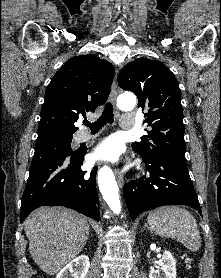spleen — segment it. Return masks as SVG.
<instances>
[{
  "label": "spleen",
  "mask_w": 221,
  "mask_h": 278,
  "mask_svg": "<svg viewBox=\"0 0 221 278\" xmlns=\"http://www.w3.org/2000/svg\"><path fill=\"white\" fill-rule=\"evenodd\" d=\"M151 230L165 238L176 239L192 252L199 250L201 236L193 215L178 206H163L147 217Z\"/></svg>",
  "instance_id": "spleen-1"
}]
</instances>
